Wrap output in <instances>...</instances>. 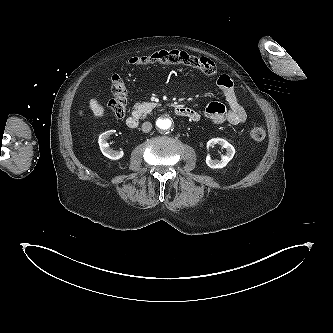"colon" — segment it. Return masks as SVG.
<instances>
[{
  "label": "colon",
  "instance_id": "5ec220e1",
  "mask_svg": "<svg viewBox=\"0 0 333 333\" xmlns=\"http://www.w3.org/2000/svg\"><path fill=\"white\" fill-rule=\"evenodd\" d=\"M129 64L133 66L150 65H183L212 76L217 73L215 63L206 57H197L179 50H161L149 55L130 58ZM112 99L108 104V113L114 118H122L126 112L127 88L121 76L115 74L111 78ZM265 130L261 126H253L250 138L260 142L265 138Z\"/></svg>",
  "mask_w": 333,
  "mask_h": 333
}]
</instances>
